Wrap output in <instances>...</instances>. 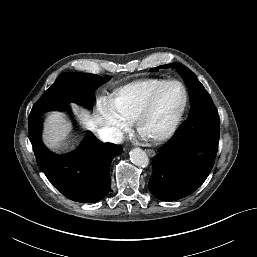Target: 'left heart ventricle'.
I'll return each instance as SVG.
<instances>
[{
	"instance_id": "b2bd125f",
	"label": "left heart ventricle",
	"mask_w": 257,
	"mask_h": 257,
	"mask_svg": "<svg viewBox=\"0 0 257 257\" xmlns=\"http://www.w3.org/2000/svg\"><path fill=\"white\" fill-rule=\"evenodd\" d=\"M183 91L179 85L173 84L164 89L154 109L143 123V131L155 135L163 131L183 102Z\"/></svg>"
}]
</instances>
